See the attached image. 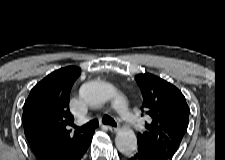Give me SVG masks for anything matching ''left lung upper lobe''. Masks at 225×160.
Returning a JSON list of instances; mask_svg holds the SVG:
<instances>
[{
	"instance_id": "left-lung-upper-lobe-1",
	"label": "left lung upper lobe",
	"mask_w": 225,
	"mask_h": 160,
	"mask_svg": "<svg viewBox=\"0 0 225 160\" xmlns=\"http://www.w3.org/2000/svg\"><path fill=\"white\" fill-rule=\"evenodd\" d=\"M143 93V108L150 117L146 131L137 136L138 149L170 160L186 134L190 109L181 91L149 73L136 76Z\"/></svg>"
}]
</instances>
